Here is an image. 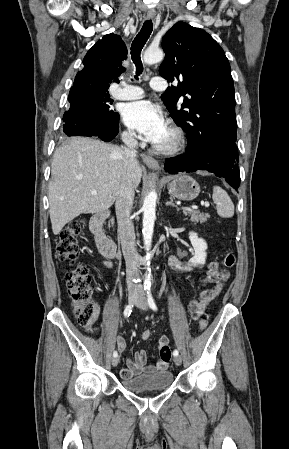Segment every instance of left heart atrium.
<instances>
[{"mask_svg":"<svg viewBox=\"0 0 289 449\" xmlns=\"http://www.w3.org/2000/svg\"><path fill=\"white\" fill-rule=\"evenodd\" d=\"M123 121L148 142L158 144L167 131L166 122L158 107L147 100L125 105Z\"/></svg>","mask_w":289,"mask_h":449,"instance_id":"obj_1","label":"left heart atrium"}]
</instances>
